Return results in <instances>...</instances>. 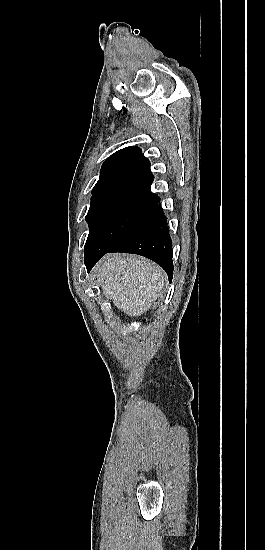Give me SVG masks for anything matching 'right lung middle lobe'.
<instances>
[{"label": "right lung middle lobe", "instance_id": "dd1d6c3e", "mask_svg": "<svg viewBox=\"0 0 265 550\" xmlns=\"http://www.w3.org/2000/svg\"><path fill=\"white\" fill-rule=\"evenodd\" d=\"M150 188L114 190L91 198L84 253L105 251L122 238L157 199Z\"/></svg>", "mask_w": 265, "mask_h": 550}]
</instances>
